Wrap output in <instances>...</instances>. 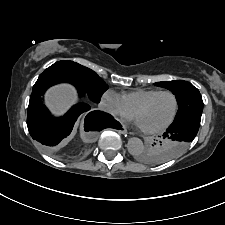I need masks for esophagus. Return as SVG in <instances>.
Instances as JSON below:
<instances>
[{
  "label": "esophagus",
  "instance_id": "esophagus-1",
  "mask_svg": "<svg viewBox=\"0 0 225 225\" xmlns=\"http://www.w3.org/2000/svg\"><path fill=\"white\" fill-rule=\"evenodd\" d=\"M117 132H119L120 134H127V128L123 125V124H120L118 127H117Z\"/></svg>",
  "mask_w": 225,
  "mask_h": 225
}]
</instances>
